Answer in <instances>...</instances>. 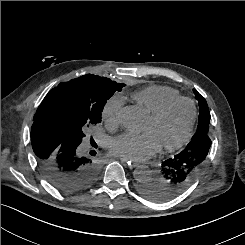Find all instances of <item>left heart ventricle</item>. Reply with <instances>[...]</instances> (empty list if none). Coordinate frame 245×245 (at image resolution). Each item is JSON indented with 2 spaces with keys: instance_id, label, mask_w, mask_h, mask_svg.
I'll return each mask as SVG.
<instances>
[{
  "instance_id": "1",
  "label": "left heart ventricle",
  "mask_w": 245,
  "mask_h": 245,
  "mask_svg": "<svg viewBox=\"0 0 245 245\" xmlns=\"http://www.w3.org/2000/svg\"><path fill=\"white\" fill-rule=\"evenodd\" d=\"M190 118V105L180 102L157 121L148 117L142 132L149 133L158 147L171 145L184 135Z\"/></svg>"
}]
</instances>
